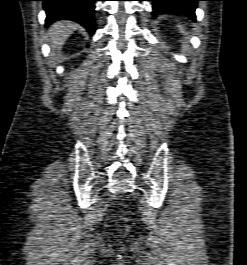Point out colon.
Masks as SVG:
<instances>
[{
  "label": "colon",
  "instance_id": "5ec220e1",
  "mask_svg": "<svg viewBox=\"0 0 247 265\" xmlns=\"http://www.w3.org/2000/svg\"><path fill=\"white\" fill-rule=\"evenodd\" d=\"M126 229H128V223L126 222V225H125Z\"/></svg>",
  "mask_w": 247,
  "mask_h": 265
}]
</instances>
